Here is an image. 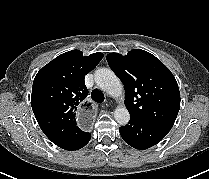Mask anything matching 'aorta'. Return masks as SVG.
I'll return each mask as SVG.
<instances>
[{
  "mask_svg": "<svg viewBox=\"0 0 209 179\" xmlns=\"http://www.w3.org/2000/svg\"><path fill=\"white\" fill-rule=\"evenodd\" d=\"M94 79L97 86L112 97H122L123 85L111 69L100 68L96 70ZM114 118L120 125H126L130 120V114L125 106H121L115 109Z\"/></svg>",
  "mask_w": 209,
  "mask_h": 179,
  "instance_id": "aorta-1",
  "label": "aorta"
}]
</instances>
